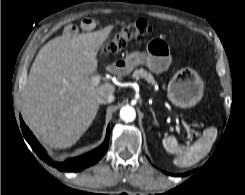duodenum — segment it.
I'll return each instance as SVG.
<instances>
[{
  "label": "duodenum",
  "mask_w": 245,
  "mask_h": 195,
  "mask_svg": "<svg viewBox=\"0 0 245 195\" xmlns=\"http://www.w3.org/2000/svg\"><path fill=\"white\" fill-rule=\"evenodd\" d=\"M115 70H116V67H111V68H110V71H111V72H114Z\"/></svg>",
  "instance_id": "duodenum-1"
}]
</instances>
